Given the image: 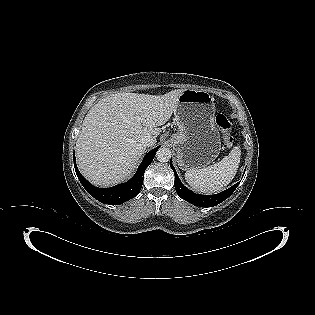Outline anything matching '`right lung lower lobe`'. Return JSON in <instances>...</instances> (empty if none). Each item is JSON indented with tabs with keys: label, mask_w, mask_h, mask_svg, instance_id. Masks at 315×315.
Returning <instances> with one entry per match:
<instances>
[{
	"label": "right lung lower lobe",
	"mask_w": 315,
	"mask_h": 315,
	"mask_svg": "<svg viewBox=\"0 0 315 315\" xmlns=\"http://www.w3.org/2000/svg\"><path fill=\"white\" fill-rule=\"evenodd\" d=\"M159 147L160 146L152 149L149 153H147V155L144 157V160L140 164L136 174L128 182L119 184L111 188H98L91 185L79 172L74 156L75 172L85 190L94 198L105 204L120 205L123 202L130 200L139 194L143 184L144 172L153 160Z\"/></svg>",
	"instance_id": "obj_1"
}]
</instances>
